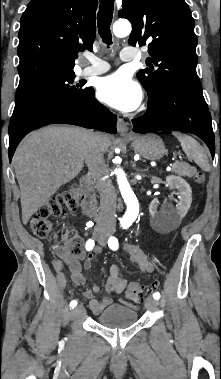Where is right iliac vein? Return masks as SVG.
Returning a JSON list of instances; mask_svg holds the SVG:
<instances>
[{
  "label": "right iliac vein",
  "instance_id": "obj_1",
  "mask_svg": "<svg viewBox=\"0 0 221 379\" xmlns=\"http://www.w3.org/2000/svg\"><path fill=\"white\" fill-rule=\"evenodd\" d=\"M85 312V309L82 305L77 306L75 309L72 311V317L73 318H78L81 317Z\"/></svg>",
  "mask_w": 221,
  "mask_h": 379
}]
</instances>
